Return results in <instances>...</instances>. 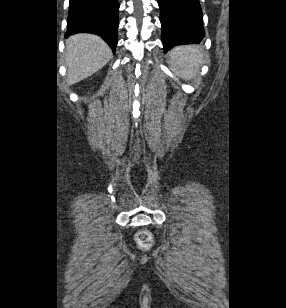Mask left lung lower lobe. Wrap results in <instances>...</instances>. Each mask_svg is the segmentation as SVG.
Instances as JSON below:
<instances>
[{
  "instance_id": "left-lung-lower-lobe-1",
  "label": "left lung lower lobe",
  "mask_w": 286,
  "mask_h": 308,
  "mask_svg": "<svg viewBox=\"0 0 286 308\" xmlns=\"http://www.w3.org/2000/svg\"><path fill=\"white\" fill-rule=\"evenodd\" d=\"M166 53L181 44L200 43L205 36L199 0H158Z\"/></svg>"
}]
</instances>
